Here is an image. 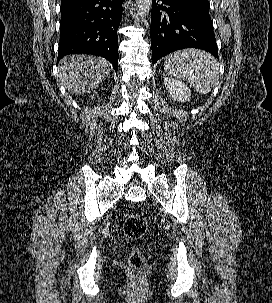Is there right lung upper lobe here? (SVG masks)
<instances>
[{
  "instance_id": "obj_1",
  "label": "right lung upper lobe",
  "mask_w": 272,
  "mask_h": 303,
  "mask_svg": "<svg viewBox=\"0 0 272 303\" xmlns=\"http://www.w3.org/2000/svg\"><path fill=\"white\" fill-rule=\"evenodd\" d=\"M79 1H81V0H61V8L70 6V5L75 4Z\"/></svg>"
}]
</instances>
